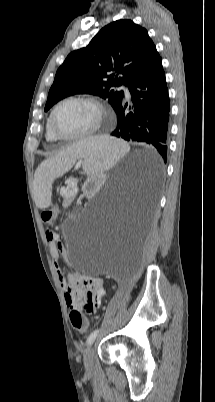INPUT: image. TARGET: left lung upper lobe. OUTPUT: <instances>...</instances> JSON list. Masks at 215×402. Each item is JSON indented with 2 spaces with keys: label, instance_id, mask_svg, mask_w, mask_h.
<instances>
[{
  "label": "left lung upper lobe",
  "instance_id": "left-lung-upper-lobe-1",
  "mask_svg": "<svg viewBox=\"0 0 215 402\" xmlns=\"http://www.w3.org/2000/svg\"><path fill=\"white\" fill-rule=\"evenodd\" d=\"M158 57L145 28L128 19L114 21L103 27L88 46L67 56L56 72L45 111L74 94L108 99L115 110L124 93L111 88L128 85Z\"/></svg>",
  "mask_w": 215,
  "mask_h": 402
}]
</instances>
